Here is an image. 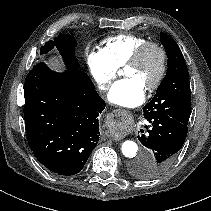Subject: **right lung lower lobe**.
<instances>
[{"label": "right lung lower lobe", "mask_w": 211, "mask_h": 211, "mask_svg": "<svg viewBox=\"0 0 211 211\" xmlns=\"http://www.w3.org/2000/svg\"><path fill=\"white\" fill-rule=\"evenodd\" d=\"M64 62L67 71L61 74L45 63L29 72L24 117L29 146L38 161L54 173L70 176L83 169L97 145L98 116L106 104L79 64L67 58Z\"/></svg>", "instance_id": "1"}]
</instances>
